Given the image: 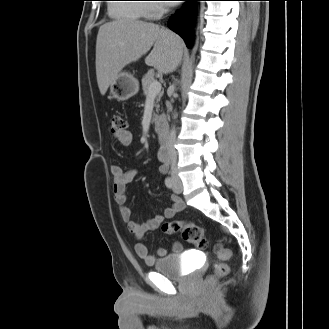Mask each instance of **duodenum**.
<instances>
[{
	"instance_id": "410a0bca",
	"label": "duodenum",
	"mask_w": 329,
	"mask_h": 329,
	"mask_svg": "<svg viewBox=\"0 0 329 329\" xmlns=\"http://www.w3.org/2000/svg\"><path fill=\"white\" fill-rule=\"evenodd\" d=\"M152 127L156 135L158 136L159 140L163 143H167L168 136H167V123L165 117L159 116L155 118Z\"/></svg>"
}]
</instances>
